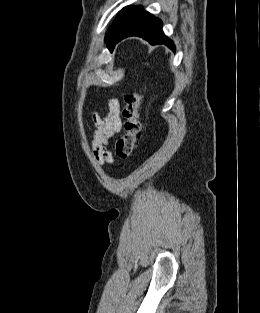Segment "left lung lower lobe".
Segmentation results:
<instances>
[{
	"instance_id": "left-lung-lower-lobe-1",
	"label": "left lung lower lobe",
	"mask_w": 260,
	"mask_h": 313,
	"mask_svg": "<svg viewBox=\"0 0 260 313\" xmlns=\"http://www.w3.org/2000/svg\"><path fill=\"white\" fill-rule=\"evenodd\" d=\"M139 36L150 42V44H165L175 50L173 42L167 38L162 31V22L147 11H144L138 19L120 37Z\"/></svg>"
}]
</instances>
